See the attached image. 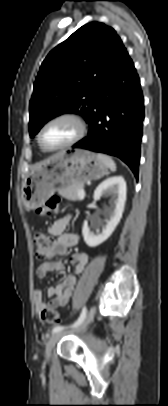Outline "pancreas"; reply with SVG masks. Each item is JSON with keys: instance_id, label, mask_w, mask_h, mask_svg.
Instances as JSON below:
<instances>
[{"instance_id": "obj_1", "label": "pancreas", "mask_w": 168, "mask_h": 406, "mask_svg": "<svg viewBox=\"0 0 168 406\" xmlns=\"http://www.w3.org/2000/svg\"><path fill=\"white\" fill-rule=\"evenodd\" d=\"M84 185H77V186H73L70 188H66L63 189L61 191H59V193L66 199L71 200V201H78V200H82L83 198H81L78 195V192L83 188Z\"/></svg>"}]
</instances>
